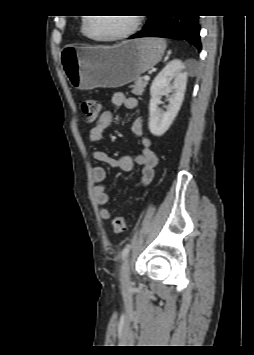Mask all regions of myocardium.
Masks as SVG:
<instances>
[{
	"label": "myocardium",
	"mask_w": 254,
	"mask_h": 355,
	"mask_svg": "<svg viewBox=\"0 0 254 355\" xmlns=\"http://www.w3.org/2000/svg\"><path fill=\"white\" fill-rule=\"evenodd\" d=\"M91 22H92V17H87L85 19V23H84V31H85L86 36L89 39L96 41V42H115V41L127 39L130 36H132L139 28L140 23H141V18L138 14L133 16L132 24L126 31H124L121 34L111 36V37L95 36L91 31Z\"/></svg>",
	"instance_id": "1"
}]
</instances>
